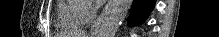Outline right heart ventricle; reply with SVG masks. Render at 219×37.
Returning a JSON list of instances; mask_svg holds the SVG:
<instances>
[{
	"instance_id": "obj_1",
	"label": "right heart ventricle",
	"mask_w": 219,
	"mask_h": 37,
	"mask_svg": "<svg viewBox=\"0 0 219 37\" xmlns=\"http://www.w3.org/2000/svg\"><path fill=\"white\" fill-rule=\"evenodd\" d=\"M82 3L77 0L62 1L58 6V26L64 29L79 28L84 24L81 17Z\"/></svg>"
}]
</instances>
